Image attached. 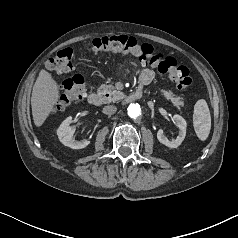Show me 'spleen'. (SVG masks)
<instances>
[{
	"instance_id": "obj_1",
	"label": "spleen",
	"mask_w": 238,
	"mask_h": 238,
	"mask_svg": "<svg viewBox=\"0 0 238 238\" xmlns=\"http://www.w3.org/2000/svg\"><path fill=\"white\" fill-rule=\"evenodd\" d=\"M193 126L197 137L205 141L211 129V115L204 99L198 100L194 105Z\"/></svg>"
}]
</instances>
